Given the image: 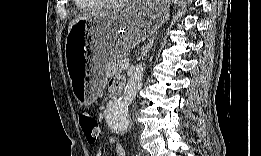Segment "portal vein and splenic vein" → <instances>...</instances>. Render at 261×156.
Segmentation results:
<instances>
[{"label": "portal vein and splenic vein", "instance_id": "obj_1", "mask_svg": "<svg viewBox=\"0 0 261 156\" xmlns=\"http://www.w3.org/2000/svg\"><path fill=\"white\" fill-rule=\"evenodd\" d=\"M128 67H129V62L128 61H124V63L120 65L121 70H125Z\"/></svg>", "mask_w": 261, "mask_h": 156}]
</instances>
